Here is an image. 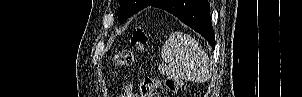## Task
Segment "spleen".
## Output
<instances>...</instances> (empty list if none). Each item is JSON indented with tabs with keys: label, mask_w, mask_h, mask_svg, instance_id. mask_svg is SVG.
I'll return each mask as SVG.
<instances>
[{
	"label": "spleen",
	"mask_w": 302,
	"mask_h": 97,
	"mask_svg": "<svg viewBox=\"0 0 302 97\" xmlns=\"http://www.w3.org/2000/svg\"><path fill=\"white\" fill-rule=\"evenodd\" d=\"M163 61L159 66L162 74L203 83L211 75V62L206 51L190 35L172 33L162 46Z\"/></svg>",
	"instance_id": "1"
}]
</instances>
